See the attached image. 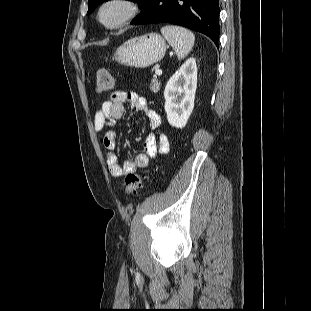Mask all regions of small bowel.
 Instances as JSON below:
<instances>
[{"label": "small bowel", "mask_w": 311, "mask_h": 311, "mask_svg": "<svg viewBox=\"0 0 311 311\" xmlns=\"http://www.w3.org/2000/svg\"><path fill=\"white\" fill-rule=\"evenodd\" d=\"M128 103L136 112L143 113L148 121L151 130L160 127L161 119L157 112L148 107L146 99L136 92L115 91L97 109L94 116V130L102 132L106 128L120 120L124 114V105ZM103 145L107 151L106 164L112 177L118 178L127 173L138 172L146 169L150 159L158 154H167L170 149V142L166 134L160 133L156 136L150 133L143 143V153L135 156L131 161L120 162L115 153L117 139L112 130H107L103 135Z\"/></svg>", "instance_id": "1"}]
</instances>
